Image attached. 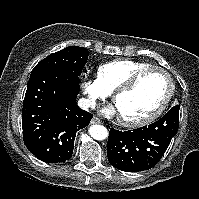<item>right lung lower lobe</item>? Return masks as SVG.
Returning a JSON list of instances; mask_svg holds the SVG:
<instances>
[{
  "mask_svg": "<svg viewBox=\"0 0 199 199\" xmlns=\"http://www.w3.org/2000/svg\"><path fill=\"white\" fill-rule=\"evenodd\" d=\"M79 90V79L62 70L30 75L22 110L23 139L38 159L58 163L72 157L77 131L93 117L77 106Z\"/></svg>",
  "mask_w": 199,
  "mask_h": 199,
  "instance_id": "right-lung-lower-lobe-1",
  "label": "right lung lower lobe"
}]
</instances>
